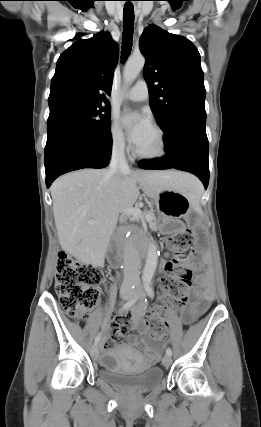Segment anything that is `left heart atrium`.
<instances>
[{
	"mask_svg": "<svg viewBox=\"0 0 261 427\" xmlns=\"http://www.w3.org/2000/svg\"><path fill=\"white\" fill-rule=\"evenodd\" d=\"M121 121L127 130L130 142L136 148L143 143L153 129L150 119L145 114H127L122 117Z\"/></svg>",
	"mask_w": 261,
	"mask_h": 427,
	"instance_id": "1",
	"label": "left heart atrium"
}]
</instances>
